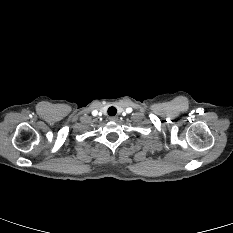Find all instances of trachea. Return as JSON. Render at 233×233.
I'll return each instance as SVG.
<instances>
[{
  "instance_id": "trachea-1",
  "label": "trachea",
  "mask_w": 233,
  "mask_h": 233,
  "mask_svg": "<svg viewBox=\"0 0 233 233\" xmlns=\"http://www.w3.org/2000/svg\"><path fill=\"white\" fill-rule=\"evenodd\" d=\"M116 113H117V110H116L115 107H110V108L108 109V114H109L110 116H114V115H116Z\"/></svg>"
}]
</instances>
